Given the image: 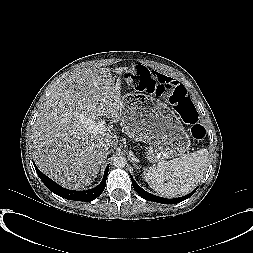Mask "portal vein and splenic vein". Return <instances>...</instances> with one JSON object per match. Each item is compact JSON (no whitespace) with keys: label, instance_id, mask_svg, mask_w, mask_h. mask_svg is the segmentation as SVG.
<instances>
[{"label":"portal vein and splenic vein","instance_id":"obj_1","mask_svg":"<svg viewBox=\"0 0 253 253\" xmlns=\"http://www.w3.org/2000/svg\"><path fill=\"white\" fill-rule=\"evenodd\" d=\"M81 123L86 126L89 133L102 134L107 130V124L105 121L96 122L95 120H92L90 118L82 117Z\"/></svg>","mask_w":253,"mask_h":253}]
</instances>
